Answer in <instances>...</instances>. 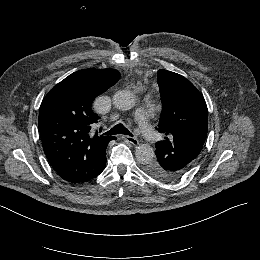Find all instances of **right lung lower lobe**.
<instances>
[{
  "label": "right lung lower lobe",
  "mask_w": 260,
  "mask_h": 260,
  "mask_svg": "<svg viewBox=\"0 0 260 260\" xmlns=\"http://www.w3.org/2000/svg\"><path fill=\"white\" fill-rule=\"evenodd\" d=\"M98 175H99V174H98ZM98 175H96V176H94V177H92V178H90V179H87V180H85L84 182H87V181H89V180H91V179L97 177Z\"/></svg>",
  "instance_id": "obj_1"
}]
</instances>
